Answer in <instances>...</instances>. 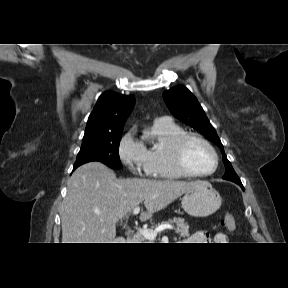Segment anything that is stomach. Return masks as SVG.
Segmentation results:
<instances>
[{"label": "stomach", "instance_id": "0dacf381", "mask_svg": "<svg viewBox=\"0 0 288 288\" xmlns=\"http://www.w3.org/2000/svg\"><path fill=\"white\" fill-rule=\"evenodd\" d=\"M220 194L206 181H197L182 197V208L193 217H207L221 206Z\"/></svg>", "mask_w": 288, "mask_h": 288}]
</instances>
